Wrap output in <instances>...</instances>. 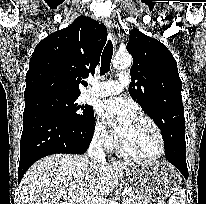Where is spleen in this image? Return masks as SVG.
I'll return each mask as SVG.
<instances>
[{"mask_svg": "<svg viewBox=\"0 0 206 204\" xmlns=\"http://www.w3.org/2000/svg\"><path fill=\"white\" fill-rule=\"evenodd\" d=\"M169 204H184V192L182 189H177L169 196Z\"/></svg>", "mask_w": 206, "mask_h": 204, "instance_id": "spleen-1", "label": "spleen"}]
</instances>
